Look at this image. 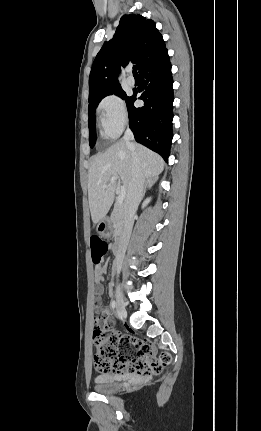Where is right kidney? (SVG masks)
I'll return each instance as SVG.
<instances>
[{"label": "right kidney", "instance_id": "obj_1", "mask_svg": "<svg viewBox=\"0 0 261 431\" xmlns=\"http://www.w3.org/2000/svg\"><path fill=\"white\" fill-rule=\"evenodd\" d=\"M150 200H151V198H147V199L143 202L142 208L146 207V206H147V204L150 202Z\"/></svg>", "mask_w": 261, "mask_h": 431}]
</instances>
